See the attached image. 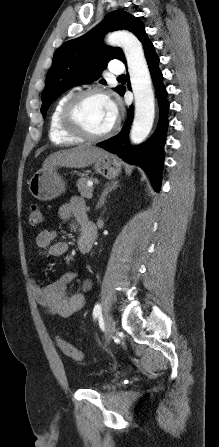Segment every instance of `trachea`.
<instances>
[{
	"label": "trachea",
	"mask_w": 219,
	"mask_h": 447,
	"mask_svg": "<svg viewBox=\"0 0 219 447\" xmlns=\"http://www.w3.org/2000/svg\"><path fill=\"white\" fill-rule=\"evenodd\" d=\"M125 78V75L118 76V79Z\"/></svg>",
	"instance_id": "3493384b"
}]
</instances>
